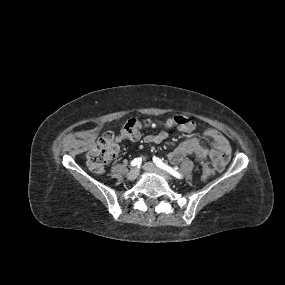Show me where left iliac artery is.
Masks as SVG:
<instances>
[{"label": "left iliac artery", "instance_id": "obj_1", "mask_svg": "<svg viewBox=\"0 0 285 285\" xmlns=\"http://www.w3.org/2000/svg\"><path fill=\"white\" fill-rule=\"evenodd\" d=\"M153 162L156 164L157 167L167 171L168 173H170L174 177H176L178 179L183 178V176L178 171H176L175 169H173L169 165L165 164L161 159L157 158L156 156L153 157Z\"/></svg>", "mask_w": 285, "mask_h": 285}]
</instances>
